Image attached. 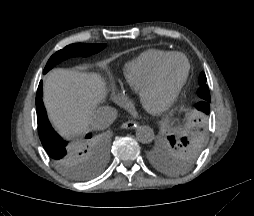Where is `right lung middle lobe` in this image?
I'll return each instance as SVG.
<instances>
[{
	"label": "right lung middle lobe",
	"instance_id": "right-lung-middle-lobe-1",
	"mask_svg": "<svg viewBox=\"0 0 254 216\" xmlns=\"http://www.w3.org/2000/svg\"><path fill=\"white\" fill-rule=\"evenodd\" d=\"M106 47V44H71L63 48L62 50L56 52L51 56L49 61L46 64L44 69V74L48 72L52 67L56 64L60 63L63 60H66L70 57L77 56H89L95 54ZM79 150H83L86 147V143H82L77 145ZM90 157L92 163L87 167H84L79 158L69 162L68 164H64L61 166H57L58 169L63 172L68 177L75 180H86L94 175H96L101 168L103 167L106 159V149L100 144L90 143ZM87 168V169H86Z\"/></svg>",
	"mask_w": 254,
	"mask_h": 216
}]
</instances>
